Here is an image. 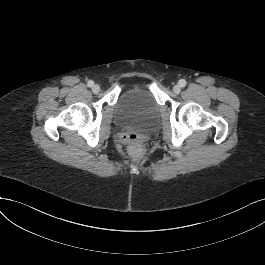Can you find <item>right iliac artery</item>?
I'll use <instances>...</instances> for the list:
<instances>
[{
	"mask_svg": "<svg viewBox=\"0 0 265 265\" xmlns=\"http://www.w3.org/2000/svg\"><path fill=\"white\" fill-rule=\"evenodd\" d=\"M87 85H88L89 87H92V86L94 85V82H93L92 80H89L88 83H87Z\"/></svg>",
	"mask_w": 265,
	"mask_h": 265,
	"instance_id": "1",
	"label": "right iliac artery"
}]
</instances>
